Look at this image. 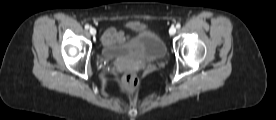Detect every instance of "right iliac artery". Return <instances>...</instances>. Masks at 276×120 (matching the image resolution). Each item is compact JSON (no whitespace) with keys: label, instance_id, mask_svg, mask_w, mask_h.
I'll list each match as a JSON object with an SVG mask.
<instances>
[{"label":"right iliac artery","instance_id":"82829eb1","mask_svg":"<svg viewBox=\"0 0 276 120\" xmlns=\"http://www.w3.org/2000/svg\"><path fill=\"white\" fill-rule=\"evenodd\" d=\"M85 29H89V25L88 24L85 25Z\"/></svg>","mask_w":276,"mask_h":120}]
</instances>
